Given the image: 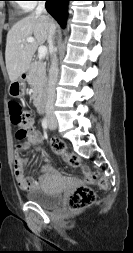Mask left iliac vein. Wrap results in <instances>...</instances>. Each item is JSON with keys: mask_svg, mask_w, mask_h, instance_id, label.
Here are the masks:
<instances>
[{"mask_svg": "<svg viewBox=\"0 0 133 253\" xmlns=\"http://www.w3.org/2000/svg\"><path fill=\"white\" fill-rule=\"evenodd\" d=\"M50 129H53V127L50 125Z\"/></svg>", "mask_w": 133, "mask_h": 253, "instance_id": "left-iliac-vein-1", "label": "left iliac vein"}]
</instances>
